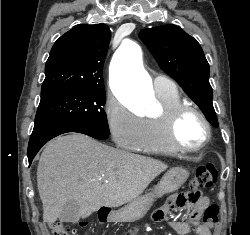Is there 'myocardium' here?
<instances>
[{"instance_id": "myocardium-1", "label": "myocardium", "mask_w": 250, "mask_h": 235, "mask_svg": "<svg viewBox=\"0 0 250 235\" xmlns=\"http://www.w3.org/2000/svg\"><path fill=\"white\" fill-rule=\"evenodd\" d=\"M195 113L197 114L200 119L202 120L204 127H205V137L203 141L196 147H189L182 145L178 138H177V126L181 119V117L186 113ZM161 115L164 117L165 120V134L167 140L171 144V146L176 149L177 151L184 152V153H196L204 149L207 144L210 142L212 129L211 123L205 113L198 108L197 106L180 103L177 106L167 110L162 111Z\"/></svg>"}]
</instances>
